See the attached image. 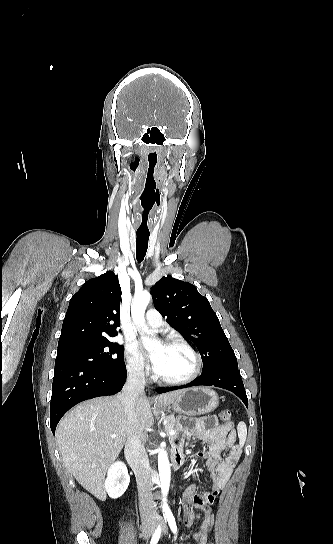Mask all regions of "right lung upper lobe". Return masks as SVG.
<instances>
[{
  "label": "right lung upper lobe",
  "mask_w": 333,
  "mask_h": 544,
  "mask_svg": "<svg viewBox=\"0 0 333 544\" xmlns=\"http://www.w3.org/2000/svg\"><path fill=\"white\" fill-rule=\"evenodd\" d=\"M120 300L114 272L86 281L70 299L58 349L118 335Z\"/></svg>",
  "instance_id": "cb5924a9"
}]
</instances>
